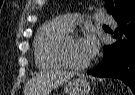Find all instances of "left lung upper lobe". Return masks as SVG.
Returning <instances> with one entry per match:
<instances>
[{"mask_svg":"<svg viewBox=\"0 0 135 95\" xmlns=\"http://www.w3.org/2000/svg\"><path fill=\"white\" fill-rule=\"evenodd\" d=\"M106 8L117 20L135 9V0H106Z\"/></svg>","mask_w":135,"mask_h":95,"instance_id":"obj_1","label":"left lung upper lobe"}]
</instances>
